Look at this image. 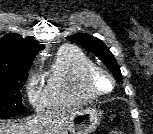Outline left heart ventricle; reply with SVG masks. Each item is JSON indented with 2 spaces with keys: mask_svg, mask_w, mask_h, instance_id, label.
I'll return each mask as SVG.
<instances>
[{
  "mask_svg": "<svg viewBox=\"0 0 153 134\" xmlns=\"http://www.w3.org/2000/svg\"><path fill=\"white\" fill-rule=\"evenodd\" d=\"M94 85L98 90L106 91L110 89V81L107 77L102 74L96 75L94 79Z\"/></svg>",
  "mask_w": 153,
  "mask_h": 134,
  "instance_id": "b2bd125f",
  "label": "left heart ventricle"
}]
</instances>
